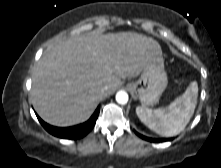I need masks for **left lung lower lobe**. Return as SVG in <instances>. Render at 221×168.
<instances>
[{
  "mask_svg": "<svg viewBox=\"0 0 221 168\" xmlns=\"http://www.w3.org/2000/svg\"><path fill=\"white\" fill-rule=\"evenodd\" d=\"M135 133H136L139 137H141L142 139L147 140V141H150V142H156V143H158V142H164V141L171 140V139H167V138H159V139L149 138V137H146V136H143V135L137 133L136 131H135Z\"/></svg>",
  "mask_w": 221,
  "mask_h": 168,
  "instance_id": "0a47b994",
  "label": "left lung lower lobe"
}]
</instances>
